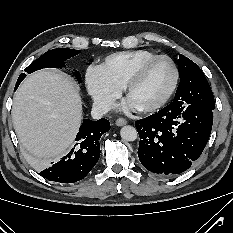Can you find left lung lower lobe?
<instances>
[{"mask_svg":"<svg viewBox=\"0 0 233 233\" xmlns=\"http://www.w3.org/2000/svg\"><path fill=\"white\" fill-rule=\"evenodd\" d=\"M212 111L172 102L158 113L137 120L138 157L142 165L162 177L186 171L206 146Z\"/></svg>","mask_w":233,"mask_h":233,"instance_id":"obj_1","label":"left lung lower lobe"}]
</instances>
